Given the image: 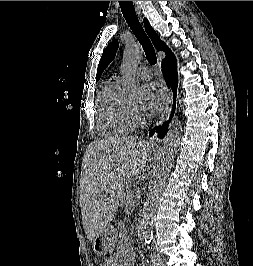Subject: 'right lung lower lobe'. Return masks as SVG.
<instances>
[{
    "instance_id": "right-lung-lower-lobe-1",
    "label": "right lung lower lobe",
    "mask_w": 253,
    "mask_h": 266,
    "mask_svg": "<svg viewBox=\"0 0 253 266\" xmlns=\"http://www.w3.org/2000/svg\"><path fill=\"white\" fill-rule=\"evenodd\" d=\"M162 72H163V76L166 80V83L168 84V86L171 87L173 94H174V104H173V111L171 113L170 119L169 121H167L166 123H164L162 126L159 127H154L149 135L152 136L155 131L158 133L159 137H163L167 130H168V124L171 121L173 114H174V110H175V101H176V91H177V82H178V78H177V63H176V59L174 55H171L170 57L164 59L162 61Z\"/></svg>"
}]
</instances>
